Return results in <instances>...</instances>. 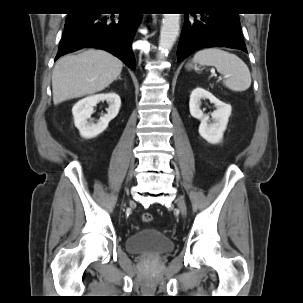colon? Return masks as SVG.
I'll return each instance as SVG.
<instances>
[{
  "label": "colon",
  "instance_id": "5ec220e1",
  "mask_svg": "<svg viewBox=\"0 0 303 303\" xmlns=\"http://www.w3.org/2000/svg\"><path fill=\"white\" fill-rule=\"evenodd\" d=\"M141 219L145 223H150L153 220V216L150 213H143Z\"/></svg>",
  "mask_w": 303,
  "mask_h": 303
}]
</instances>
